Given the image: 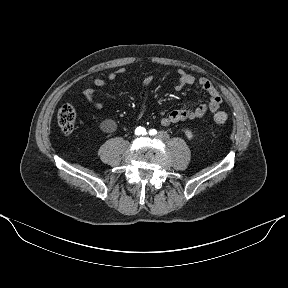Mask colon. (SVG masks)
<instances>
[{
    "instance_id": "5ec220e1",
    "label": "colon",
    "mask_w": 288,
    "mask_h": 288,
    "mask_svg": "<svg viewBox=\"0 0 288 288\" xmlns=\"http://www.w3.org/2000/svg\"><path fill=\"white\" fill-rule=\"evenodd\" d=\"M228 116L224 111H216L213 116L214 126H222L227 122ZM77 112L71 104L63 105L57 114V123L61 131L70 134L75 129Z\"/></svg>"
}]
</instances>
